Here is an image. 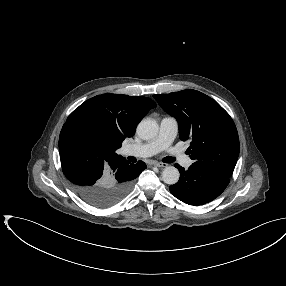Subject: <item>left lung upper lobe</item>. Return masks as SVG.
<instances>
[{"label":"left lung upper lobe","instance_id":"obj_1","mask_svg":"<svg viewBox=\"0 0 286 286\" xmlns=\"http://www.w3.org/2000/svg\"><path fill=\"white\" fill-rule=\"evenodd\" d=\"M179 124L180 139H190L192 165L231 177L239 155V137L229 114L212 98L192 89L153 96Z\"/></svg>","mask_w":286,"mask_h":286}]
</instances>
